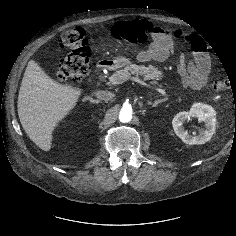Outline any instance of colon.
Segmentation results:
<instances>
[{
  "label": "colon",
  "mask_w": 236,
  "mask_h": 236,
  "mask_svg": "<svg viewBox=\"0 0 236 236\" xmlns=\"http://www.w3.org/2000/svg\"><path fill=\"white\" fill-rule=\"evenodd\" d=\"M154 29L151 22L145 20L122 21L114 25V38L130 44L143 43ZM87 31L83 27H74L64 31L58 39L60 46L70 49V53L61 61L57 71V79L68 84L80 82L89 71L90 49ZM212 88L220 93L233 88V83L223 76L214 79Z\"/></svg>",
  "instance_id": "5ec220e1"
}]
</instances>
